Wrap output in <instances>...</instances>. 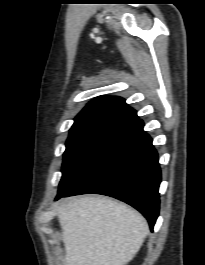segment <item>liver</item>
I'll return each instance as SVG.
<instances>
[{
    "label": "liver",
    "instance_id": "obj_1",
    "mask_svg": "<svg viewBox=\"0 0 205 265\" xmlns=\"http://www.w3.org/2000/svg\"><path fill=\"white\" fill-rule=\"evenodd\" d=\"M59 223L66 265H126L149 233L139 212L95 196L65 200Z\"/></svg>",
    "mask_w": 205,
    "mask_h": 265
}]
</instances>
